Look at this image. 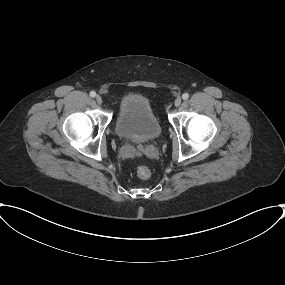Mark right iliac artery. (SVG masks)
Segmentation results:
<instances>
[{
    "label": "right iliac artery",
    "mask_w": 285,
    "mask_h": 285,
    "mask_svg": "<svg viewBox=\"0 0 285 285\" xmlns=\"http://www.w3.org/2000/svg\"><path fill=\"white\" fill-rule=\"evenodd\" d=\"M90 96H91V97H95V96H96V92L91 91V92H90Z\"/></svg>",
    "instance_id": "right-iliac-artery-1"
}]
</instances>
